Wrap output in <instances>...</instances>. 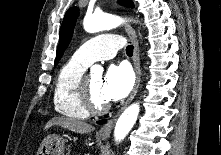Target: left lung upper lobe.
<instances>
[{
    "label": "left lung upper lobe",
    "instance_id": "left-lung-upper-lobe-1",
    "mask_svg": "<svg viewBox=\"0 0 221 155\" xmlns=\"http://www.w3.org/2000/svg\"><path fill=\"white\" fill-rule=\"evenodd\" d=\"M119 2L126 7H134V4L131 0H119ZM78 14L79 9L77 7H72L66 12L64 16L63 23L60 29V41L57 48L55 65H57L58 61L62 57L64 51L66 50L72 39L73 30Z\"/></svg>",
    "mask_w": 221,
    "mask_h": 155
}]
</instances>
